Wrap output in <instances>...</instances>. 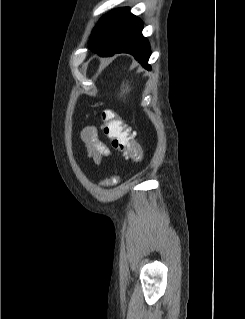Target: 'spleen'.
<instances>
[{"instance_id":"spleen-1","label":"spleen","mask_w":245,"mask_h":319,"mask_svg":"<svg viewBox=\"0 0 245 319\" xmlns=\"http://www.w3.org/2000/svg\"><path fill=\"white\" fill-rule=\"evenodd\" d=\"M123 87H124V85H123ZM128 91H129V87L126 86L125 89L124 88L122 89V93L121 94L127 93Z\"/></svg>"}]
</instances>
